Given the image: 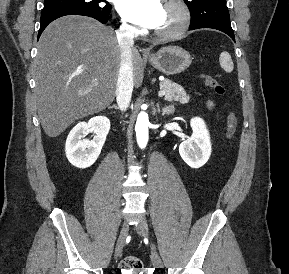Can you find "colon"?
<instances>
[{"mask_svg": "<svg viewBox=\"0 0 289 274\" xmlns=\"http://www.w3.org/2000/svg\"><path fill=\"white\" fill-rule=\"evenodd\" d=\"M203 80L206 86H208L215 94L222 96L225 93V88L211 75H204ZM237 116L234 112H230L227 116L226 131L227 136L232 138L237 130ZM120 269L122 272L126 271H139L143 270L142 262L139 258L135 256H127L120 262Z\"/></svg>", "mask_w": 289, "mask_h": 274, "instance_id": "1", "label": "colon"}]
</instances>
